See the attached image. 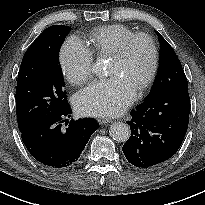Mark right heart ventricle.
<instances>
[{"mask_svg":"<svg viewBox=\"0 0 205 205\" xmlns=\"http://www.w3.org/2000/svg\"><path fill=\"white\" fill-rule=\"evenodd\" d=\"M135 32L127 26L114 24L100 27L90 33L89 49L97 57H112L122 42Z\"/></svg>","mask_w":205,"mask_h":205,"instance_id":"1","label":"right heart ventricle"}]
</instances>
